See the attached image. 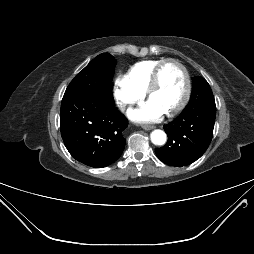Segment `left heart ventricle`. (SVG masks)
Returning <instances> with one entry per match:
<instances>
[{
    "mask_svg": "<svg viewBox=\"0 0 254 254\" xmlns=\"http://www.w3.org/2000/svg\"><path fill=\"white\" fill-rule=\"evenodd\" d=\"M184 92V77L181 69L174 63H168L162 69L157 89L149 100L166 113L181 100Z\"/></svg>",
    "mask_w": 254,
    "mask_h": 254,
    "instance_id": "1",
    "label": "left heart ventricle"
}]
</instances>
